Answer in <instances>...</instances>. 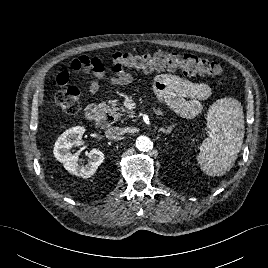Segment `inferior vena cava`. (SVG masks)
<instances>
[{"mask_svg":"<svg viewBox=\"0 0 268 268\" xmlns=\"http://www.w3.org/2000/svg\"><path fill=\"white\" fill-rule=\"evenodd\" d=\"M106 138L109 140H119L122 135L123 131L120 127H110L108 130L105 132Z\"/></svg>","mask_w":268,"mask_h":268,"instance_id":"1","label":"inferior vena cava"}]
</instances>
